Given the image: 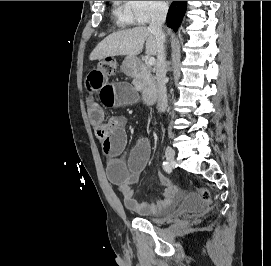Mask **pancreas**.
Wrapping results in <instances>:
<instances>
[{
  "label": "pancreas",
  "mask_w": 271,
  "mask_h": 266,
  "mask_svg": "<svg viewBox=\"0 0 271 266\" xmlns=\"http://www.w3.org/2000/svg\"><path fill=\"white\" fill-rule=\"evenodd\" d=\"M147 69L150 71V66H147ZM133 85L135 86V88L138 91H142L143 90V82L141 79H134L133 80Z\"/></svg>",
  "instance_id": "cf45deb5"
}]
</instances>
